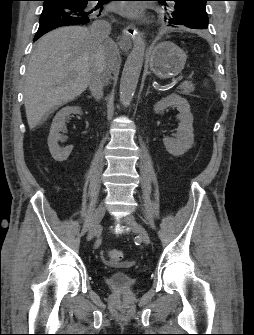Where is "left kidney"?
I'll use <instances>...</instances> for the list:
<instances>
[{
    "label": "left kidney",
    "mask_w": 254,
    "mask_h": 335,
    "mask_svg": "<svg viewBox=\"0 0 254 335\" xmlns=\"http://www.w3.org/2000/svg\"><path fill=\"white\" fill-rule=\"evenodd\" d=\"M167 107H175L180 112V121L175 138L163 139L166 150L173 156H181L194 144L193 116L188 101L177 94H171L154 105L155 113H163Z\"/></svg>",
    "instance_id": "5707ae66"
}]
</instances>
